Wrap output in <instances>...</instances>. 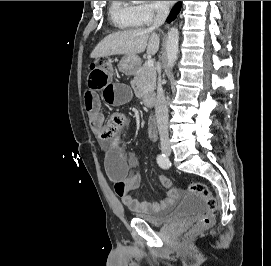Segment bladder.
I'll return each mask as SVG.
<instances>
[{
  "label": "bladder",
  "instance_id": "31cf9c89",
  "mask_svg": "<svg viewBox=\"0 0 271 266\" xmlns=\"http://www.w3.org/2000/svg\"><path fill=\"white\" fill-rule=\"evenodd\" d=\"M204 209L205 204L203 199L197 193L190 192L184 196L182 202L177 207L161 217L144 214H135L134 217L154 226H162L169 222L184 219L193 214L202 213Z\"/></svg>",
  "mask_w": 271,
  "mask_h": 266
}]
</instances>
